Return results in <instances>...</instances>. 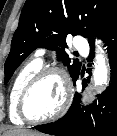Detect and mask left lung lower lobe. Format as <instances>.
Listing matches in <instances>:
<instances>
[{"label":"left lung lower lobe","mask_w":117,"mask_h":136,"mask_svg":"<svg viewBox=\"0 0 117 136\" xmlns=\"http://www.w3.org/2000/svg\"><path fill=\"white\" fill-rule=\"evenodd\" d=\"M108 47L111 80L109 87L98 96V102L82 106L80 94L75 93L68 112L54 123L35 126L40 132L55 136H117V18L100 37ZM94 56V43L90 55ZM80 74V73H79ZM79 75L73 80L75 85ZM83 80V87L86 86Z\"/></svg>","instance_id":"left-lung-lower-lobe-1"}]
</instances>
